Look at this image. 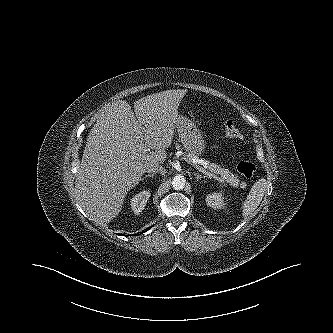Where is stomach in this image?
<instances>
[{
	"label": "stomach",
	"mask_w": 333,
	"mask_h": 333,
	"mask_svg": "<svg viewBox=\"0 0 333 333\" xmlns=\"http://www.w3.org/2000/svg\"><path fill=\"white\" fill-rule=\"evenodd\" d=\"M175 127L184 149L198 157L201 156L205 151L206 143L196 125L190 119L180 116Z\"/></svg>",
	"instance_id": "0dacf381"
}]
</instances>
